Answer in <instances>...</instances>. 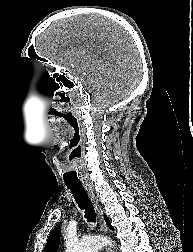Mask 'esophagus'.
Returning a JSON list of instances; mask_svg holds the SVG:
<instances>
[{
    "instance_id": "esophagus-1",
    "label": "esophagus",
    "mask_w": 193,
    "mask_h": 252,
    "mask_svg": "<svg viewBox=\"0 0 193 252\" xmlns=\"http://www.w3.org/2000/svg\"><path fill=\"white\" fill-rule=\"evenodd\" d=\"M84 188L93 204V207H94V210H95V214H96V217H97V220H98V223H99V226H100V230L104 233V234H107L108 233V228L106 226V223H105V220H104V217H103V212H102V209H101V206L93 192V189L92 187L89 185V184H84ZM107 252H110V250L108 249Z\"/></svg>"
}]
</instances>
